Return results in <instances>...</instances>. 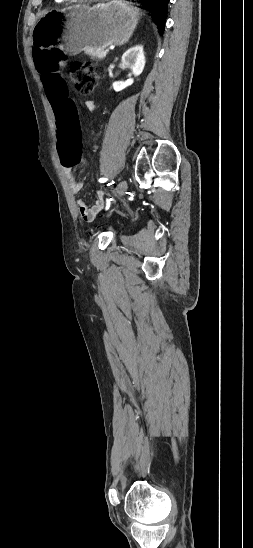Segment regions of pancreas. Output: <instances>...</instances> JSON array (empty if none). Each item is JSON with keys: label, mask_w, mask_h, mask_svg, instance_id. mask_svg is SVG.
Instances as JSON below:
<instances>
[{"label": "pancreas", "mask_w": 253, "mask_h": 548, "mask_svg": "<svg viewBox=\"0 0 253 548\" xmlns=\"http://www.w3.org/2000/svg\"><path fill=\"white\" fill-rule=\"evenodd\" d=\"M108 50L104 47H87L85 49V54L95 58V59H104Z\"/></svg>", "instance_id": "obj_1"}]
</instances>
